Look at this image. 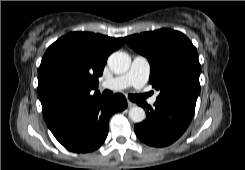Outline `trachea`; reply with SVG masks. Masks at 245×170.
<instances>
[{
  "label": "trachea",
  "mask_w": 245,
  "mask_h": 170,
  "mask_svg": "<svg viewBox=\"0 0 245 170\" xmlns=\"http://www.w3.org/2000/svg\"><path fill=\"white\" fill-rule=\"evenodd\" d=\"M113 94L112 91L109 90H105L103 92L104 96H111ZM148 96V94H144V95H133V94H129L128 97L131 101L133 102H137V101H141L143 99H145Z\"/></svg>",
  "instance_id": "1"
}]
</instances>
